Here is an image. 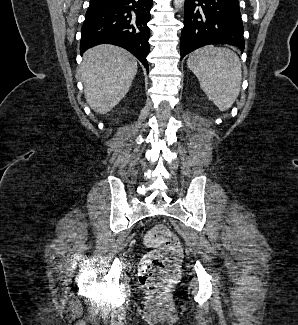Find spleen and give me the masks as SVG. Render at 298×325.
Instances as JSON below:
<instances>
[{"label":"spleen","instance_id":"3e777b00","mask_svg":"<svg viewBox=\"0 0 298 325\" xmlns=\"http://www.w3.org/2000/svg\"><path fill=\"white\" fill-rule=\"evenodd\" d=\"M202 90L219 110H228L236 100L241 86L242 70L239 56L224 46H202L187 60Z\"/></svg>","mask_w":298,"mask_h":325}]
</instances>
